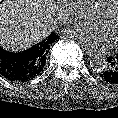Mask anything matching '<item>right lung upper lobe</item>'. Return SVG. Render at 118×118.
Segmentation results:
<instances>
[{
	"instance_id": "right-lung-upper-lobe-1",
	"label": "right lung upper lobe",
	"mask_w": 118,
	"mask_h": 118,
	"mask_svg": "<svg viewBox=\"0 0 118 118\" xmlns=\"http://www.w3.org/2000/svg\"><path fill=\"white\" fill-rule=\"evenodd\" d=\"M58 39V36L55 33H51L47 40H44L30 48L31 51L35 53L36 57V69L42 71L46 63V57L50 48V45Z\"/></svg>"
}]
</instances>
